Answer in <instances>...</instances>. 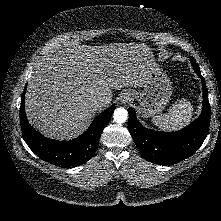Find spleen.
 <instances>
[{"instance_id":"obj_1","label":"spleen","mask_w":221,"mask_h":221,"mask_svg":"<svg viewBox=\"0 0 221 221\" xmlns=\"http://www.w3.org/2000/svg\"><path fill=\"white\" fill-rule=\"evenodd\" d=\"M193 107L185 99L173 104L167 114L153 117L152 121L163 131H177L186 127L192 119Z\"/></svg>"}]
</instances>
